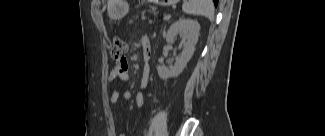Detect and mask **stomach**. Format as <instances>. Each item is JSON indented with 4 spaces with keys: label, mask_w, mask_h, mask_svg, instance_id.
<instances>
[{
    "label": "stomach",
    "mask_w": 325,
    "mask_h": 136,
    "mask_svg": "<svg viewBox=\"0 0 325 136\" xmlns=\"http://www.w3.org/2000/svg\"><path fill=\"white\" fill-rule=\"evenodd\" d=\"M114 7L112 10V16L114 19H120L127 14L129 6L124 0H114ZM156 4L161 6H170L175 4L178 0H153Z\"/></svg>",
    "instance_id": "obj_1"
}]
</instances>
